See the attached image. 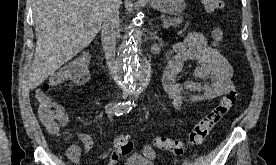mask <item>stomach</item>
Listing matches in <instances>:
<instances>
[{"instance_id": "stomach-1", "label": "stomach", "mask_w": 276, "mask_h": 165, "mask_svg": "<svg viewBox=\"0 0 276 165\" xmlns=\"http://www.w3.org/2000/svg\"><path fill=\"white\" fill-rule=\"evenodd\" d=\"M150 5L163 13L179 15L185 8L184 0H149Z\"/></svg>"}]
</instances>
